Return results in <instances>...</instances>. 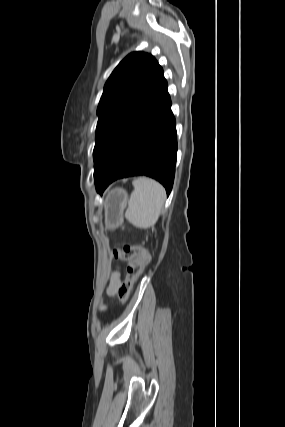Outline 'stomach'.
<instances>
[{"mask_svg":"<svg viewBox=\"0 0 285 427\" xmlns=\"http://www.w3.org/2000/svg\"><path fill=\"white\" fill-rule=\"evenodd\" d=\"M128 194L121 188L109 192L105 200L106 225L117 228L122 223L123 210L127 204Z\"/></svg>","mask_w":285,"mask_h":427,"instance_id":"obj_1","label":"stomach"}]
</instances>
